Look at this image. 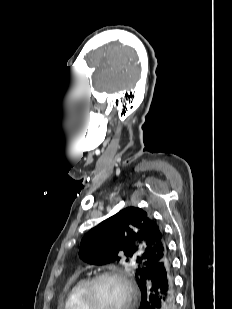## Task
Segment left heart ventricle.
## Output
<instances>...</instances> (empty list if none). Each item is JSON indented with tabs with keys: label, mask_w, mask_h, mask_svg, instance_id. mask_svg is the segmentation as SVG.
Segmentation results:
<instances>
[{
	"label": "left heart ventricle",
	"mask_w": 232,
	"mask_h": 309,
	"mask_svg": "<svg viewBox=\"0 0 232 309\" xmlns=\"http://www.w3.org/2000/svg\"><path fill=\"white\" fill-rule=\"evenodd\" d=\"M94 296L97 309H120L124 303L125 290L119 281L106 278L97 283Z\"/></svg>",
	"instance_id": "1"
}]
</instances>
